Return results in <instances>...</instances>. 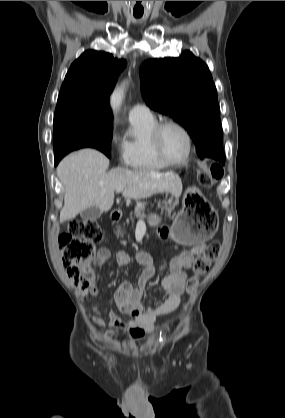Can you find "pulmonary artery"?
Returning a JSON list of instances; mask_svg holds the SVG:
<instances>
[{"instance_id": "obj_1", "label": "pulmonary artery", "mask_w": 285, "mask_h": 418, "mask_svg": "<svg viewBox=\"0 0 285 418\" xmlns=\"http://www.w3.org/2000/svg\"><path fill=\"white\" fill-rule=\"evenodd\" d=\"M129 120H144L152 118V113L148 107L143 104H134L129 110Z\"/></svg>"}]
</instances>
